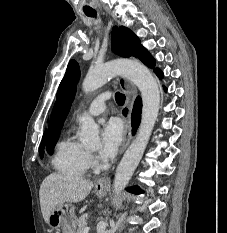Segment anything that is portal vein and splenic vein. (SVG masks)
<instances>
[{"label":"portal vein and splenic vein","instance_id":"18ae733b","mask_svg":"<svg viewBox=\"0 0 227 233\" xmlns=\"http://www.w3.org/2000/svg\"><path fill=\"white\" fill-rule=\"evenodd\" d=\"M89 230H90V228H89V227H86V228L84 229V233H88Z\"/></svg>","mask_w":227,"mask_h":233}]
</instances>
